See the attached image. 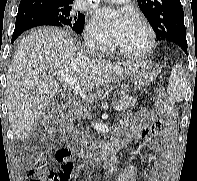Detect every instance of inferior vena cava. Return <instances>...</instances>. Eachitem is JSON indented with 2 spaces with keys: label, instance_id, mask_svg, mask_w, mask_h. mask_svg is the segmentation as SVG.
Here are the masks:
<instances>
[{
  "label": "inferior vena cava",
  "instance_id": "obj_1",
  "mask_svg": "<svg viewBox=\"0 0 197 181\" xmlns=\"http://www.w3.org/2000/svg\"><path fill=\"white\" fill-rule=\"evenodd\" d=\"M85 40H86L87 52L93 57L98 56V53L96 52L97 47L95 46V41H94L93 37L87 36L85 38Z\"/></svg>",
  "mask_w": 197,
  "mask_h": 181
}]
</instances>
